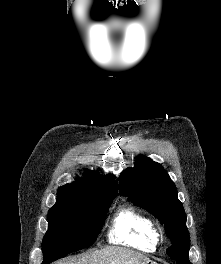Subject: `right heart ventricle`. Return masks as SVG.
Segmentation results:
<instances>
[{"mask_svg":"<svg viewBox=\"0 0 221 264\" xmlns=\"http://www.w3.org/2000/svg\"><path fill=\"white\" fill-rule=\"evenodd\" d=\"M107 238L110 243L144 252L154 251L159 243V235L151 218L129 206L121 207L115 213Z\"/></svg>","mask_w":221,"mask_h":264,"instance_id":"obj_1","label":"right heart ventricle"}]
</instances>
